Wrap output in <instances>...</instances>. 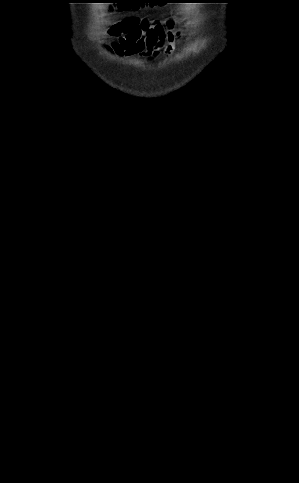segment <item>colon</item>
Here are the masks:
<instances>
[{
  "mask_svg": "<svg viewBox=\"0 0 299 483\" xmlns=\"http://www.w3.org/2000/svg\"><path fill=\"white\" fill-rule=\"evenodd\" d=\"M124 2L128 4V1H124Z\"/></svg>",
  "mask_w": 299,
  "mask_h": 483,
  "instance_id": "5ec220e1",
  "label": "colon"
}]
</instances>
